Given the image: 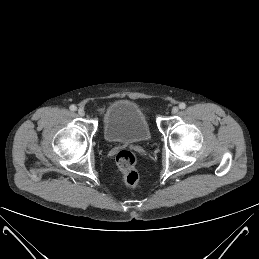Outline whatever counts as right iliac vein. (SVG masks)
<instances>
[{
  "label": "right iliac vein",
  "instance_id": "63e3f726",
  "mask_svg": "<svg viewBox=\"0 0 259 259\" xmlns=\"http://www.w3.org/2000/svg\"><path fill=\"white\" fill-rule=\"evenodd\" d=\"M78 115L83 117L85 115V111L83 109H78Z\"/></svg>",
  "mask_w": 259,
  "mask_h": 259
}]
</instances>
